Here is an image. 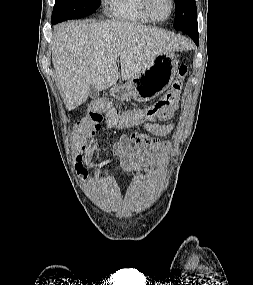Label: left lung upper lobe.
Wrapping results in <instances>:
<instances>
[{"label":"left lung upper lobe","instance_id":"left-lung-upper-lobe-1","mask_svg":"<svg viewBox=\"0 0 253 285\" xmlns=\"http://www.w3.org/2000/svg\"><path fill=\"white\" fill-rule=\"evenodd\" d=\"M175 23L176 30L183 31L197 24L195 0H175Z\"/></svg>","mask_w":253,"mask_h":285}]
</instances>
